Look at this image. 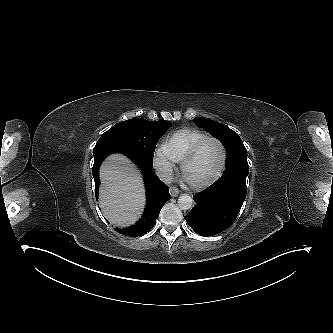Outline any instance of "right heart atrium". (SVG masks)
Here are the masks:
<instances>
[{"label":"right heart atrium","mask_w":333,"mask_h":333,"mask_svg":"<svg viewBox=\"0 0 333 333\" xmlns=\"http://www.w3.org/2000/svg\"><path fill=\"white\" fill-rule=\"evenodd\" d=\"M176 160L170 155L166 145H160L154 153L153 165L165 179L169 178L175 168Z\"/></svg>","instance_id":"1"}]
</instances>
